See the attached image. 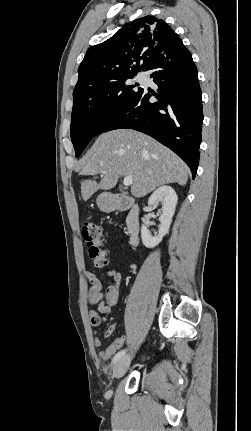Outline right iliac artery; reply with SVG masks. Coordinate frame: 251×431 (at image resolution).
I'll list each match as a JSON object with an SVG mask.
<instances>
[{"mask_svg": "<svg viewBox=\"0 0 251 431\" xmlns=\"http://www.w3.org/2000/svg\"><path fill=\"white\" fill-rule=\"evenodd\" d=\"M126 353V350H121V351H119L114 357H113V359H112V362L113 363H116L119 359H121L123 356H124V354Z\"/></svg>", "mask_w": 251, "mask_h": 431, "instance_id": "obj_1", "label": "right iliac artery"}]
</instances>
